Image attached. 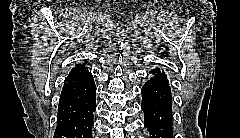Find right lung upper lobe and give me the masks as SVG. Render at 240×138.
<instances>
[{
  "label": "right lung upper lobe",
  "instance_id": "1",
  "mask_svg": "<svg viewBox=\"0 0 240 138\" xmlns=\"http://www.w3.org/2000/svg\"><path fill=\"white\" fill-rule=\"evenodd\" d=\"M90 74L89 71L85 68L84 65L77 64L75 68H72L69 73L66 82L74 81L80 79L86 75Z\"/></svg>",
  "mask_w": 240,
  "mask_h": 138
}]
</instances>
